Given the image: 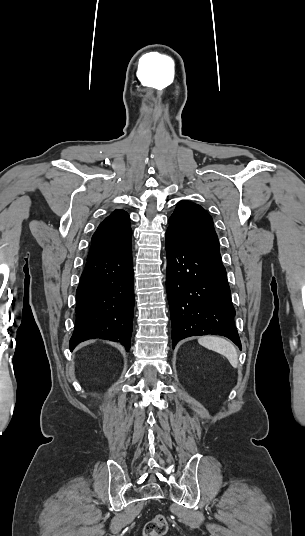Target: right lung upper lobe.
<instances>
[{"mask_svg": "<svg viewBox=\"0 0 305 536\" xmlns=\"http://www.w3.org/2000/svg\"><path fill=\"white\" fill-rule=\"evenodd\" d=\"M131 235L128 213L116 209L100 223L92 236L87 260L105 257L131 247Z\"/></svg>", "mask_w": 305, "mask_h": 536, "instance_id": "cb5924a9", "label": "right lung upper lobe"}]
</instances>
